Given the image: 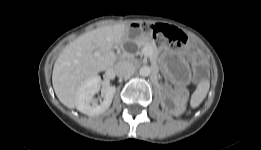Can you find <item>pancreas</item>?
Returning <instances> with one entry per match:
<instances>
[{
  "label": "pancreas",
  "instance_id": "obj_1",
  "mask_svg": "<svg viewBox=\"0 0 261 150\" xmlns=\"http://www.w3.org/2000/svg\"><path fill=\"white\" fill-rule=\"evenodd\" d=\"M136 44L141 48V55L143 54V47H150V52L146 53V56L150 58L152 66L157 64L156 45L146 38H142L136 41Z\"/></svg>",
  "mask_w": 261,
  "mask_h": 150
}]
</instances>
